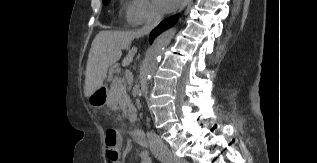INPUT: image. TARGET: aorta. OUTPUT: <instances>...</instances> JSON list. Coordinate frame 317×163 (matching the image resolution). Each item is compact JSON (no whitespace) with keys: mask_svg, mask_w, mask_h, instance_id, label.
Listing matches in <instances>:
<instances>
[{"mask_svg":"<svg viewBox=\"0 0 317 163\" xmlns=\"http://www.w3.org/2000/svg\"><path fill=\"white\" fill-rule=\"evenodd\" d=\"M175 30L169 29L155 38L150 49L147 52L145 61L142 67V81L147 84L156 70L164 50L168 46L174 35Z\"/></svg>","mask_w":317,"mask_h":163,"instance_id":"aorta-1","label":"aorta"}]
</instances>
